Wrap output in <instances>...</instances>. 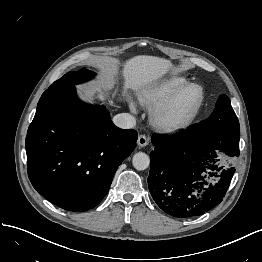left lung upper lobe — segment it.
<instances>
[{
	"instance_id": "obj_1",
	"label": "left lung upper lobe",
	"mask_w": 262,
	"mask_h": 262,
	"mask_svg": "<svg viewBox=\"0 0 262 262\" xmlns=\"http://www.w3.org/2000/svg\"><path fill=\"white\" fill-rule=\"evenodd\" d=\"M191 131L215 134L228 130L240 131L238 118L231 106V101L226 95H220L214 112L208 119L190 128Z\"/></svg>"
}]
</instances>
